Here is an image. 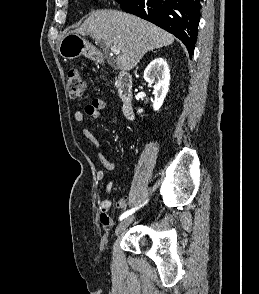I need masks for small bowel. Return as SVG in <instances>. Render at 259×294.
<instances>
[{
    "instance_id": "obj_1",
    "label": "small bowel",
    "mask_w": 259,
    "mask_h": 294,
    "mask_svg": "<svg viewBox=\"0 0 259 294\" xmlns=\"http://www.w3.org/2000/svg\"><path fill=\"white\" fill-rule=\"evenodd\" d=\"M106 108V102L103 99H94L91 103L86 105L84 112L76 111L74 114V118L77 122H83L85 116H88L93 119H98L100 117L101 112ZM84 136L93 144V146L97 150V156L101 164L105 167V169L112 171L115 168V164L108 157L106 152L104 151L100 141L98 138L88 129H83ZM96 178L99 181H103L106 178V174L103 170H100L96 173ZM113 182L110 180L106 185V192L109 194L112 190ZM112 202L109 197H105L100 202V213L99 220L102 225L106 227H110L113 225V221L109 216V210L111 208ZM117 207L120 209H124L127 206V200L124 197H121L117 201Z\"/></svg>"
}]
</instances>
